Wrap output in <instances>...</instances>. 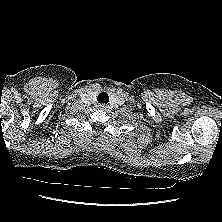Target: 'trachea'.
<instances>
[{
  "mask_svg": "<svg viewBox=\"0 0 222 222\" xmlns=\"http://www.w3.org/2000/svg\"><path fill=\"white\" fill-rule=\"evenodd\" d=\"M98 102L99 103H105L107 104L108 101H109V96L107 95V93L105 92H102L98 95V98H97Z\"/></svg>",
  "mask_w": 222,
  "mask_h": 222,
  "instance_id": "1",
  "label": "trachea"
}]
</instances>
